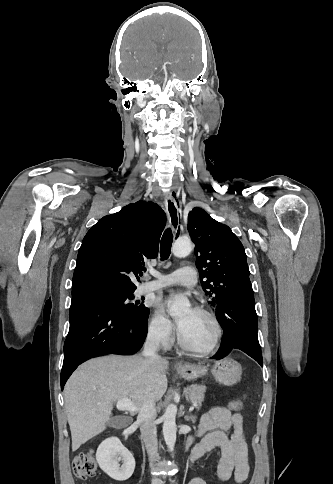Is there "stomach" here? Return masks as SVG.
<instances>
[{"label": "stomach", "mask_w": 333, "mask_h": 484, "mask_svg": "<svg viewBox=\"0 0 333 484\" xmlns=\"http://www.w3.org/2000/svg\"><path fill=\"white\" fill-rule=\"evenodd\" d=\"M207 364H189L184 363L176 367L177 373L180 377L184 378L185 380L192 381L196 380L200 377H204L207 375L208 371L214 377V379L222 385L231 386L237 383L242 374V367L241 365L234 359L230 357H225L218 361H215L214 364L210 367Z\"/></svg>", "instance_id": "stomach-1"}]
</instances>
